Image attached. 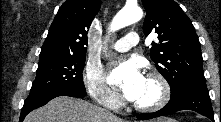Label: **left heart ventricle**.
<instances>
[{
    "label": "left heart ventricle",
    "mask_w": 221,
    "mask_h": 122,
    "mask_svg": "<svg viewBox=\"0 0 221 122\" xmlns=\"http://www.w3.org/2000/svg\"><path fill=\"white\" fill-rule=\"evenodd\" d=\"M159 94L158 84L151 79L145 78L143 89L134 102L138 104H150L158 99Z\"/></svg>",
    "instance_id": "1"
}]
</instances>
